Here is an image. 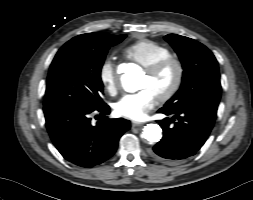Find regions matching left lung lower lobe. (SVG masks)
Masks as SVG:
<instances>
[{
	"instance_id": "left-lung-lower-lobe-1",
	"label": "left lung lower lobe",
	"mask_w": 253,
	"mask_h": 200,
	"mask_svg": "<svg viewBox=\"0 0 253 200\" xmlns=\"http://www.w3.org/2000/svg\"><path fill=\"white\" fill-rule=\"evenodd\" d=\"M158 113L173 117L157 121L163 137L149 154L156 161L171 165L194 155L203 146L214 125L217 106L197 105L178 110L162 107Z\"/></svg>"
}]
</instances>
